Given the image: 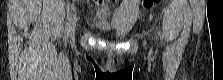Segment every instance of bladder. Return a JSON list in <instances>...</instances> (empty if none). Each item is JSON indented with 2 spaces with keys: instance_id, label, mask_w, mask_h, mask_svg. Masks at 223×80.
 <instances>
[{
  "instance_id": "bladder-1",
  "label": "bladder",
  "mask_w": 223,
  "mask_h": 80,
  "mask_svg": "<svg viewBox=\"0 0 223 80\" xmlns=\"http://www.w3.org/2000/svg\"><path fill=\"white\" fill-rule=\"evenodd\" d=\"M94 28L96 30H99V31H102V32H105V33H109V32H111L113 30L112 27H110V26H107V25H99V24L94 25Z\"/></svg>"
}]
</instances>
